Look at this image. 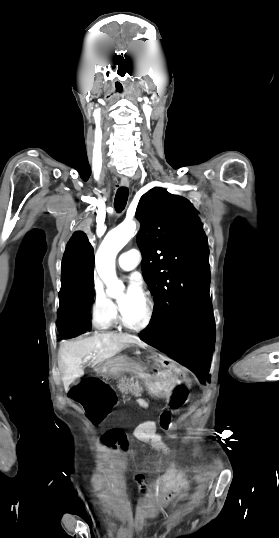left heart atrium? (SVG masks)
Masks as SVG:
<instances>
[{"instance_id":"1","label":"left heart atrium","mask_w":279,"mask_h":538,"mask_svg":"<svg viewBox=\"0 0 279 538\" xmlns=\"http://www.w3.org/2000/svg\"><path fill=\"white\" fill-rule=\"evenodd\" d=\"M129 283L130 284L127 292L131 295H141V288L139 286V283L133 279H130Z\"/></svg>"}]
</instances>
